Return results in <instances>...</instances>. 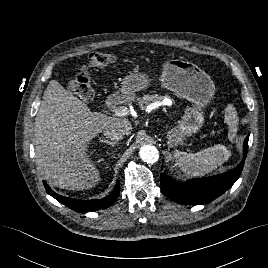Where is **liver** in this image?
I'll list each match as a JSON object with an SVG mask.
<instances>
[{"instance_id":"obj_1","label":"liver","mask_w":268,"mask_h":268,"mask_svg":"<svg viewBox=\"0 0 268 268\" xmlns=\"http://www.w3.org/2000/svg\"><path fill=\"white\" fill-rule=\"evenodd\" d=\"M110 125H121L126 134L132 129L125 118L92 112L58 81L51 80L34 127L36 161L44 177L69 190L94 187L101 178L88 155V145Z\"/></svg>"}]
</instances>
